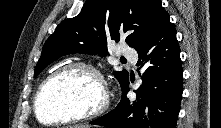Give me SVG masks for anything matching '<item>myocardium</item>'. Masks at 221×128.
Segmentation results:
<instances>
[{"label":"myocardium","instance_id":"myocardium-1","mask_svg":"<svg viewBox=\"0 0 221 128\" xmlns=\"http://www.w3.org/2000/svg\"><path fill=\"white\" fill-rule=\"evenodd\" d=\"M75 69H81L84 71L89 72L94 76L96 79L99 89H100V95L98 99L92 103L91 109H85L82 112L68 115L62 118H55L51 121H43L38 112V104L41 99L42 92L46 85L55 77ZM109 104V92L106 85V82L104 80V77L100 73L98 69H96L93 65L85 63V62H72L68 63L66 65L61 66L60 68L56 69L52 73H50L39 85L35 97H34V115L36 119L43 124L53 125V124H67V123H73L80 120L88 119V118H95L100 116L104 111L107 109Z\"/></svg>","mask_w":221,"mask_h":128}]
</instances>
